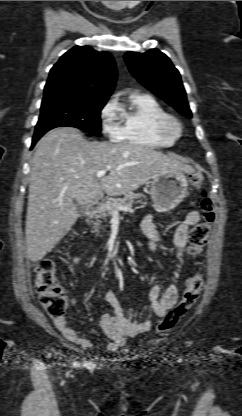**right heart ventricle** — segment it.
<instances>
[{"mask_svg":"<svg viewBox=\"0 0 242 416\" xmlns=\"http://www.w3.org/2000/svg\"><path fill=\"white\" fill-rule=\"evenodd\" d=\"M122 125L115 140L151 148H164L175 143L174 138L162 134L157 127L167 115L162 105L150 94L132 93L127 101L118 104Z\"/></svg>","mask_w":242,"mask_h":416,"instance_id":"1","label":"right heart ventricle"}]
</instances>
